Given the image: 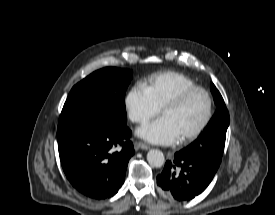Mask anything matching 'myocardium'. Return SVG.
<instances>
[{
	"instance_id": "f54148a6",
	"label": "myocardium",
	"mask_w": 275,
	"mask_h": 215,
	"mask_svg": "<svg viewBox=\"0 0 275 215\" xmlns=\"http://www.w3.org/2000/svg\"><path fill=\"white\" fill-rule=\"evenodd\" d=\"M196 92H201L203 93L208 101V109L205 118L203 121L190 133L185 135L184 137L179 139L180 143H186L189 142L195 138H197L209 125L213 113H214V101L211 93L204 87L201 86H193L190 88H186L182 91H180L177 95L169 99L161 108V113H163L164 110L168 108H175L180 106L189 96Z\"/></svg>"
}]
</instances>
